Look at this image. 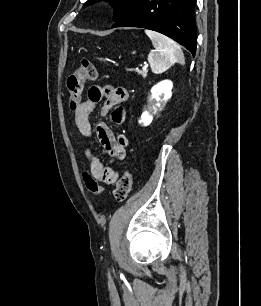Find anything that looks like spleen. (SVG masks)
Here are the masks:
<instances>
[{
    "instance_id": "spleen-1",
    "label": "spleen",
    "mask_w": 261,
    "mask_h": 306,
    "mask_svg": "<svg viewBox=\"0 0 261 306\" xmlns=\"http://www.w3.org/2000/svg\"><path fill=\"white\" fill-rule=\"evenodd\" d=\"M145 33L154 47L148 56L153 73H163L175 63L185 64L184 54L175 41L156 31L146 29Z\"/></svg>"
}]
</instances>
